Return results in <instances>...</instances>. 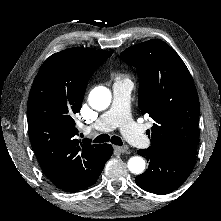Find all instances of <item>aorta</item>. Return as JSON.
Segmentation results:
<instances>
[{
    "instance_id": "aorta-1",
    "label": "aorta",
    "mask_w": 221,
    "mask_h": 221,
    "mask_svg": "<svg viewBox=\"0 0 221 221\" xmlns=\"http://www.w3.org/2000/svg\"><path fill=\"white\" fill-rule=\"evenodd\" d=\"M111 102V93L106 87H96L89 94V105L97 111L105 110ZM145 160L140 156L131 157L127 166L131 173L139 175L145 170Z\"/></svg>"
}]
</instances>
